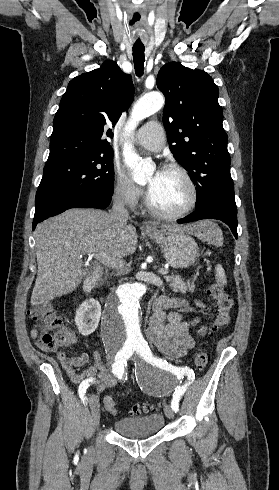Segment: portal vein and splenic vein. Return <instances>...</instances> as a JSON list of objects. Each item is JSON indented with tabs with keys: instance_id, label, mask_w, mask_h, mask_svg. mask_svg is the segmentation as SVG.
<instances>
[{
	"instance_id": "1",
	"label": "portal vein and splenic vein",
	"mask_w": 279,
	"mask_h": 490,
	"mask_svg": "<svg viewBox=\"0 0 279 490\" xmlns=\"http://www.w3.org/2000/svg\"><path fill=\"white\" fill-rule=\"evenodd\" d=\"M91 256H94V254H91ZM96 258L99 262H102L104 266H108V268H119V266H123L122 262H115L114 258H110L107 254H99ZM159 272L160 274H168V268H162Z\"/></svg>"
}]
</instances>
